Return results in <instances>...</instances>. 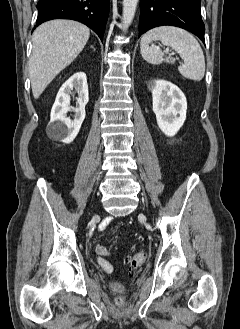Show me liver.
Instances as JSON below:
<instances>
[{
    "instance_id": "1",
    "label": "liver",
    "mask_w": 240,
    "mask_h": 329,
    "mask_svg": "<svg viewBox=\"0 0 240 329\" xmlns=\"http://www.w3.org/2000/svg\"><path fill=\"white\" fill-rule=\"evenodd\" d=\"M89 36L90 31L85 25L61 19L45 22L34 31L29 75L35 99L76 59Z\"/></svg>"
}]
</instances>
